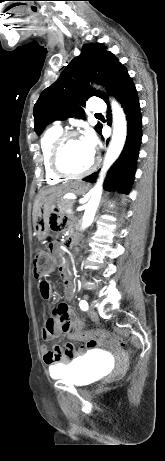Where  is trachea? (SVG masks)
Listing matches in <instances>:
<instances>
[{
    "instance_id": "trachea-1",
    "label": "trachea",
    "mask_w": 165,
    "mask_h": 461,
    "mask_svg": "<svg viewBox=\"0 0 165 461\" xmlns=\"http://www.w3.org/2000/svg\"><path fill=\"white\" fill-rule=\"evenodd\" d=\"M95 116H101V114H100V113H96Z\"/></svg>"
}]
</instances>
